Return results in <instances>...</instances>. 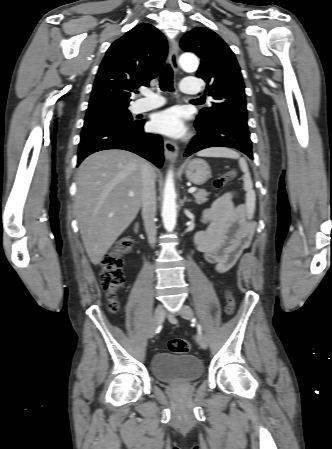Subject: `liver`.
<instances>
[{"mask_svg": "<svg viewBox=\"0 0 332 449\" xmlns=\"http://www.w3.org/2000/svg\"><path fill=\"white\" fill-rule=\"evenodd\" d=\"M143 163L142 158L128 151L104 150L87 157L79 167L75 213L84 247L94 265L100 263L139 212Z\"/></svg>", "mask_w": 332, "mask_h": 449, "instance_id": "obj_1", "label": "liver"}]
</instances>
